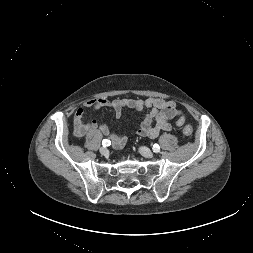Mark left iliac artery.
Masks as SVG:
<instances>
[{"instance_id": "1", "label": "left iliac artery", "mask_w": 253, "mask_h": 253, "mask_svg": "<svg viewBox=\"0 0 253 253\" xmlns=\"http://www.w3.org/2000/svg\"><path fill=\"white\" fill-rule=\"evenodd\" d=\"M153 151H154L155 153H158V152L160 151V146H159L158 144H154V145H153Z\"/></svg>"}]
</instances>
